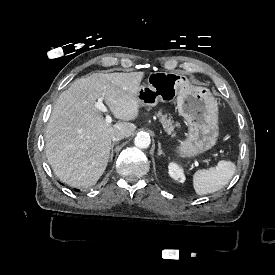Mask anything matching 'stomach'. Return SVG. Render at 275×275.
<instances>
[{"label": "stomach", "instance_id": "obj_1", "mask_svg": "<svg viewBox=\"0 0 275 275\" xmlns=\"http://www.w3.org/2000/svg\"><path fill=\"white\" fill-rule=\"evenodd\" d=\"M142 106L154 107L177 98V109L187 122L185 138L169 144L167 150L183 159L197 158L211 150L219 138L218 101L206 87L190 85L178 72H155L137 93Z\"/></svg>", "mask_w": 275, "mask_h": 275}]
</instances>
